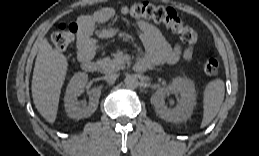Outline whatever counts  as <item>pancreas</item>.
<instances>
[{
	"label": "pancreas",
	"instance_id": "pancreas-1",
	"mask_svg": "<svg viewBox=\"0 0 259 156\" xmlns=\"http://www.w3.org/2000/svg\"><path fill=\"white\" fill-rule=\"evenodd\" d=\"M100 71L103 73H111L123 68L124 61L118 59H110L108 57L98 61Z\"/></svg>",
	"mask_w": 259,
	"mask_h": 156
}]
</instances>
